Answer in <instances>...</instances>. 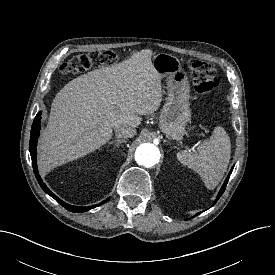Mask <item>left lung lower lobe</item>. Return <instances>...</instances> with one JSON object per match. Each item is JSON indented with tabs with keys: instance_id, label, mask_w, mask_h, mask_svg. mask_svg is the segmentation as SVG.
Returning <instances> with one entry per match:
<instances>
[{
	"instance_id": "left-lung-lower-lobe-1",
	"label": "left lung lower lobe",
	"mask_w": 275,
	"mask_h": 275,
	"mask_svg": "<svg viewBox=\"0 0 275 275\" xmlns=\"http://www.w3.org/2000/svg\"><path fill=\"white\" fill-rule=\"evenodd\" d=\"M232 170H233V167H232V169H231V171H230V173H229L227 179L225 180V182H224L222 188L220 189V191H219V193H218V195H217L216 201H217V200L220 198V196L223 194V192H224V190H225V188H226V184H227V182H228L229 176H230V174L232 173Z\"/></svg>"
}]
</instances>
